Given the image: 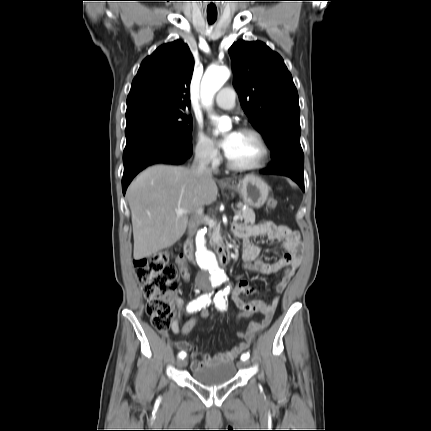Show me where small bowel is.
Returning a JSON list of instances; mask_svg holds the SVG:
<instances>
[{"label": "small bowel", "instance_id": "c3829d8e", "mask_svg": "<svg viewBox=\"0 0 431 431\" xmlns=\"http://www.w3.org/2000/svg\"><path fill=\"white\" fill-rule=\"evenodd\" d=\"M233 231L243 240L242 257L244 260V269L260 275H272L283 271L282 277L275 287L277 294H281L287 287L300 263L299 234L286 226L277 225L271 221H262L255 225H235ZM256 236H267L272 242H280L284 249L282 257L273 263H267L261 260L260 247L250 240L251 237ZM177 265L183 280L188 282L190 280V273L183 257L180 256L177 258ZM228 291L232 301L240 310H252V315L261 314L262 318L259 321L253 322L251 329L246 332L243 337H238L241 341L232 349L216 355L201 353L198 349L193 348L192 343L189 341H175L174 345L180 352L186 353L187 351H191L190 358L191 367L193 369L233 361L247 350L255 336L270 324L279 304L278 296H276L271 303H266L262 300L245 301L243 299L244 296L254 293L253 287L246 278L240 279L236 285L229 288ZM172 303L176 306L177 313L171 322L170 328L174 334H179L183 329V327H179V321L182 316L184 303L183 300L176 295L172 297ZM160 333L162 336L168 337L167 331H160Z\"/></svg>", "mask_w": 431, "mask_h": 431}]
</instances>
